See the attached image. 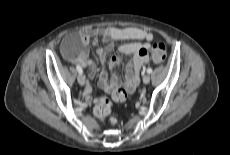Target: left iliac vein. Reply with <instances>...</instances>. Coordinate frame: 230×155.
Segmentation results:
<instances>
[{
  "mask_svg": "<svg viewBox=\"0 0 230 155\" xmlns=\"http://www.w3.org/2000/svg\"><path fill=\"white\" fill-rule=\"evenodd\" d=\"M143 82H144L145 84H148V83L150 82V76H149V75H144V77H143Z\"/></svg>",
  "mask_w": 230,
  "mask_h": 155,
  "instance_id": "4c4485c4",
  "label": "left iliac vein"
}]
</instances>
